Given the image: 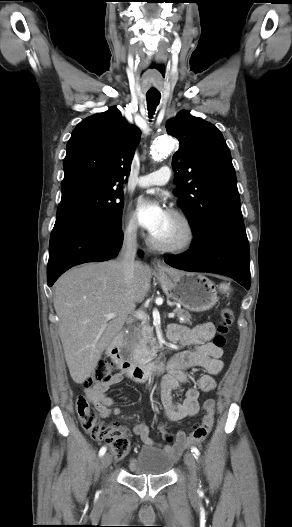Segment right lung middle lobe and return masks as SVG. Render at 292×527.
<instances>
[{
  "label": "right lung middle lobe",
  "instance_id": "1",
  "mask_svg": "<svg viewBox=\"0 0 292 527\" xmlns=\"http://www.w3.org/2000/svg\"><path fill=\"white\" fill-rule=\"evenodd\" d=\"M62 198L57 215L77 213L94 217L110 226L121 228L124 203L121 187L87 179L62 183Z\"/></svg>",
  "mask_w": 292,
  "mask_h": 527
}]
</instances>
